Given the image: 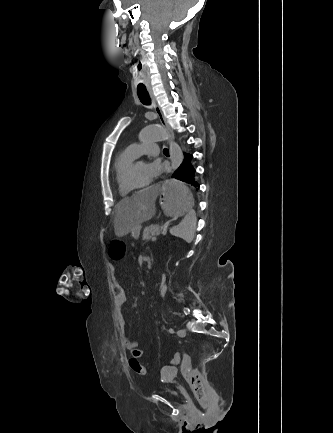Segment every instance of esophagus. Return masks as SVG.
<instances>
[{
    "label": "esophagus",
    "mask_w": 333,
    "mask_h": 433,
    "mask_svg": "<svg viewBox=\"0 0 333 433\" xmlns=\"http://www.w3.org/2000/svg\"><path fill=\"white\" fill-rule=\"evenodd\" d=\"M147 90H148V93H149V96H150V99H151V102H152L153 109L156 112V115L158 117V120H159L161 126L167 131V133L169 135V138L171 140L172 137H173V133H172L171 129L167 126L165 117H164V115H163V113L161 111V108L157 104V101L155 99L153 91H152L151 88H148Z\"/></svg>",
    "instance_id": "34e87169"
}]
</instances>
